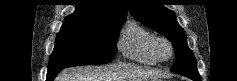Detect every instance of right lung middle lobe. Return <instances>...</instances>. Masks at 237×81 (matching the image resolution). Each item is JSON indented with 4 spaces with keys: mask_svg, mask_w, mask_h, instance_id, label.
Instances as JSON below:
<instances>
[{
    "mask_svg": "<svg viewBox=\"0 0 237 81\" xmlns=\"http://www.w3.org/2000/svg\"><path fill=\"white\" fill-rule=\"evenodd\" d=\"M123 23L64 21L50 55L48 72L111 62L117 52L116 41Z\"/></svg>",
    "mask_w": 237,
    "mask_h": 81,
    "instance_id": "dd1d6c3e",
    "label": "right lung middle lobe"
}]
</instances>
